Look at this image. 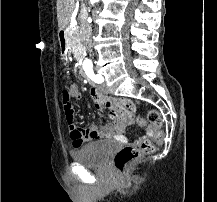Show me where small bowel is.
<instances>
[{
  "mask_svg": "<svg viewBox=\"0 0 217 202\" xmlns=\"http://www.w3.org/2000/svg\"><path fill=\"white\" fill-rule=\"evenodd\" d=\"M89 92L93 98L95 108L99 110L106 109V116L109 122L101 128L73 126L71 136H68V141L79 142H71V147H83V144L104 138H112L121 144L137 146L141 142L154 137L155 129L152 125L150 128L141 126L145 128V136L138 141H130L123 135L125 124L126 126H131V121L137 118L134 101H107V95L95 86H91ZM70 96L74 99L81 98V91L76 84L71 85Z\"/></svg>",
  "mask_w": 217,
  "mask_h": 202,
  "instance_id": "small-bowel-1",
  "label": "small bowel"
}]
</instances>
